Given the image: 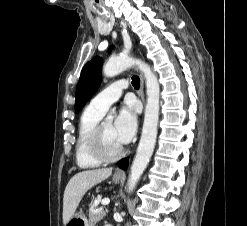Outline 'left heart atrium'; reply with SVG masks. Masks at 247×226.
Wrapping results in <instances>:
<instances>
[{
  "label": "left heart atrium",
  "mask_w": 247,
  "mask_h": 226,
  "mask_svg": "<svg viewBox=\"0 0 247 226\" xmlns=\"http://www.w3.org/2000/svg\"><path fill=\"white\" fill-rule=\"evenodd\" d=\"M137 129L136 106L133 102L124 104L114 122L113 130L121 145L129 143Z\"/></svg>",
  "instance_id": "1"
}]
</instances>
